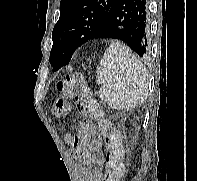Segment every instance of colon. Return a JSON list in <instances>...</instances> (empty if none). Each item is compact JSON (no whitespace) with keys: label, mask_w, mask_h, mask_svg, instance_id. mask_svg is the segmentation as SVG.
<instances>
[{"label":"colon","mask_w":197,"mask_h":181,"mask_svg":"<svg viewBox=\"0 0 197 181\" xmlns=\"http://www.w3.org/2000/svg\"><path fill=\"white\" fill-rule=\"evenodd\" d=\"M55 89L59 94L53 108L56 114L68 113L71 108L70 101L74 100L78 111L84 117L99 120V128L106 137L107 146L104 181H120L124 174V165L119 130L113 127L110 121L103 118L102 110L98 103L91 98L82 77L76 73L69 74L65 79L55 83Z\"/></svg>","instance_id":"obj_1"}]
</instances>
